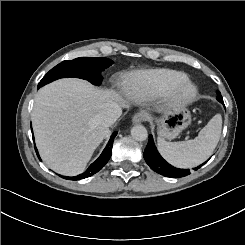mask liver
<instances>
[{
    "mask_svg": "<svg viewBox=\"0 0 245 245\" xmlns=\"http://www.w3.org/2000/svg\"><path fill=\"white\" fill-rule=\"evenodd\" d=\"M139 90L118 91L94 86L79 78H60L41 87L35 97L31 122L41 159L64 176L81 174L94 150L109 134L100 114L110 105L120 109L146 107ZM154 111H162L155 108Z\"/></svg>",
    "mask_w": 245,
    "mask_h": 245,
    "instance_id": "obj_1",
    "label": "liver"
}]
</instances>
